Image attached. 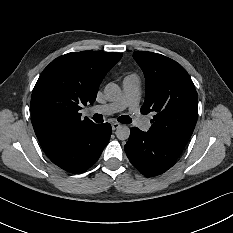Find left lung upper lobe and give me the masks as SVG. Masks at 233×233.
Here are the masks:
<instances>
[{"mask_svg": "<svg viewBox=\"0 0 233 233\" xmlns=\"http://www.w3.org/2000/svg\"><path fill=\"white\" fill-rule=\"evenodd\" d=\"M145 75L142 114L156 112L150 136L186 145L197 122L198 95L187 71L161 54L138 51L133 55Z\"/></svg>", "mask_w": 233, "mask_h": 233, "instance_id": "1", "label": "left lung upper lobe"}]
</instances>
